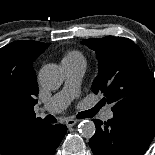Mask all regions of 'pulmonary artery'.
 Instances as JSON below:
<instances>
[{"label": "pulmonary artery", "mask_w": 155, "mask_h": 155, "mask_svg": "<svg viewBox=\"0 0 155 155\" xmlns=\"http://www.w3.org/2000/svg\"><path fill=\"white\" fill-rule=\"evenodd\" d=\"M65 71L64 88L54 96H52L44 105L40 114L45 113L56 114L64 110L70 103L71 99L77 93L81 78L86 70V62L83 61H62ZM105 120L113 117V112L107 108L103 112Z\"/></svg>", "instance_id": "e3ab8cb5"}]
</instances>
